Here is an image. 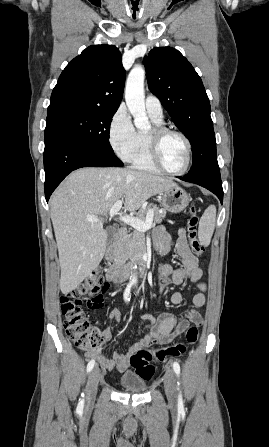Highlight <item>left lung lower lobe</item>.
Here are the masks:
<instances>
[{"mask_svg":"<svg viewBox=\"0 0 269 447\" xmlns=\"http://www.w3.org/2000/svg\"><path fill=\"white\" fill-rule=\"evenodd\" d=\"M178 178L187 182L196 183L210 190L219 198L221 204L223 203V189L220 175L205 177L201 179H191L186 175L184 177H178Z\"/></svg>","mask_w":269,"mask_h":447,"instance_id":"left-lung-lower-lobe-1","label":"left lung lower lobe"}]
</instances>
